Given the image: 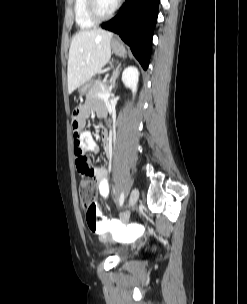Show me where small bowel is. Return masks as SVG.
Returning a JSON list of instances; mask_svg holds the SVG:
<instances>
[{
	"label": "small bowel",
	"instance_id": "obj_1",
	"mask_svg": "<svg viewBox=\"0 0 247 304\" xmlns=\"http://www.w3.org/2000/svg\"><path fill=\"white\" fill-rule=\"evenodd\" d=\"M94 110L97 113L102 111L105 112V106L101 102L98 101H89L86 104L80 106L79 108H74V112L72 113L73 119L80 120H72V132L74 135L73 146L74 153L76 157V167L78 172L83 176H91L95 179L97 183V189L102 198H107L110 193L108 175L105 169L103 168H95L91 166L88 159L85 156L86 152H98V146L88 131H83V127L85 124V120L89 115L90 111ZM104 150L106 152L111 151V142L106 132L102 135ZM86 159V168H81L79 165V159Z\"/></svg>",
	"mask_w": 247,
	"mask_h": 304
}]
</instances>
